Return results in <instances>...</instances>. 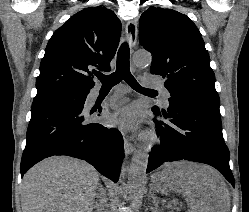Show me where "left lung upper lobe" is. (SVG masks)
I'll return each instance as SVG.
<instances>
[{
	"mask_svg": "<svg viewBox=\"0 0 249 212\" xmlns=\"http://www.w3.org/2000/svg\"><path fill=\"white\" fill-rule=\"evenodd\" d=\"M139 37L153 55L150 72L167 78L170 98L220 105L209 54L200 31L186 15L151 6L140 17Z\"/></svg>",
	"mask_w": 249,
	"mask_h": 212,
	"instance_id": "5c2ea615",
	"label": "left lung upper lobe"
}]
</instances>
